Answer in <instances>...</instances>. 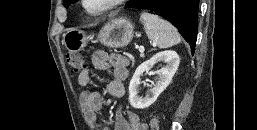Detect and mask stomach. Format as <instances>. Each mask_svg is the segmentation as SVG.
<instances>
[{
    "label": "stomach",
    "mask_w": 257,
    "mask_h": 130,
    "mask_svg": "<svg viewBox=\"0 0 257 130\" xmlns=\"http://www.w3.org/2000/svg\"><path fill=\"white\" fill-rule=\"evenodd\" d=\"M134 36V25L125 17L113 18L99 31L96 41L110 48L127 46ZM94 35L87 36L79 29H70L62 36V44L70 51L82 50Z\"/></svg>",
    "instance_id": "1"
}]
</instances>
